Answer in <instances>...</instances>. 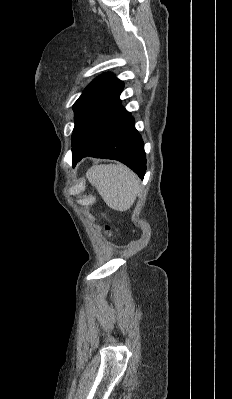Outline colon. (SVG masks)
Here are the masks:
<instances>
[{
  "label": "colon",
  "mask_w": 232,
  "mask_h": 399,
  "mask_svg": "<svg viewBox=\"0 0 232 399\" xmlns=\"http://www.w3.org/2000/svg\"><path fill=\"white\" fill-rule=\"evenodd\" d=\"M86 205H91V198H86ZM106 227H109V230H114V225H111V221H106Z\"/></svg>",
  "instance_id": "5ec220e1"
}]
</instances>
